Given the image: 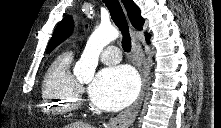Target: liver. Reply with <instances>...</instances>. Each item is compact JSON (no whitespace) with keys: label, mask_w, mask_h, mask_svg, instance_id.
<instances>
[{"label":"liver","mask_w":221,"mask_h":128,"mask_svg":"<svg viewBox=\"0 0 221 128\" xmlns=\"http://www.w3.org/2000/svg\"><path fill=\"white\" fill-rule=\"evenodd\" d=\"M65 128H92L91 125L83 122H76L67 125Z\"/></svg>","instance_id":"1"}]
</instances>
